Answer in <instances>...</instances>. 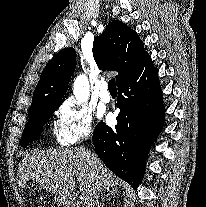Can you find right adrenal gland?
Here are the masks:
<instances>
[{
  "label": "right adrenal gland",
  "instance_id": "1",
  "mask_svg": "<svg viewBox=\"0 0 206 207\" xmlns=\"http://www.w3.org/2000/svg\"><path fill=\"white\" fill-rule=\"evenodd\" d=\"M117 195H118V191L116 188L109 190L108 193L102 197L101 202L99 204V207H101V206L103 207L105 199H108L111 196L115 197Z\"/></svg>",
  "mask_w": 206,
  "mask_h": 207
}]
</instances>
